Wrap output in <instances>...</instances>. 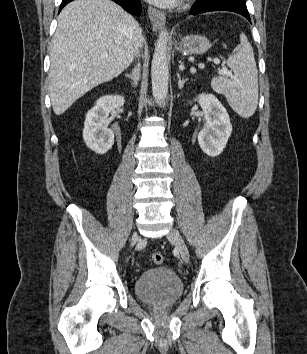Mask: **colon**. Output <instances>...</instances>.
Masks as SVG:
<instances>
[{
	"label": "colon",
	"instance_id": "obj_1",
	"mask_svg": "<svg viewBox=\"0 0 307 354\" xmlns=\"http://www.w3.org/2000/svg\"><path fill=\"white\" fill-rule=\"evenodd\" d=\"M152 261L155 263V264H161L164 260V257L161 253H153L152 254Z\"/></svg>",
	"mask_w": 307,
	"mask_h": 354
}]
</instances>
